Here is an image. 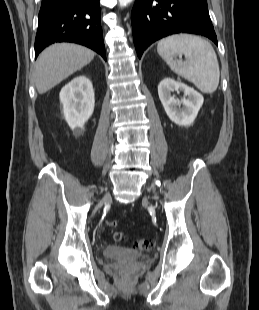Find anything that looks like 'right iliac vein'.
<instances>
[{"instance_id":"right-iliac-vein-1","label":"right iliac vein","mask_w":259,"mask_h":310,"mask_svg":"<svg viewBox=\"0 0 259 310\" xmlns=\"http://www.w3.org/2000/svg\"><path fill=\"white\" fill-rule=\"evenodd\" d=\"M105 199H106V200H109V199H110V194H109V193L105 196Z\"/></svg>"}]
</instances>
